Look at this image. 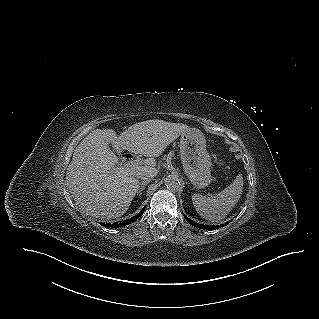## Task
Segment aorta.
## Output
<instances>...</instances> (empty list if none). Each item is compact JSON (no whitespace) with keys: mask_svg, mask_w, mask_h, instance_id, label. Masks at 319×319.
<instances>
[{"mask_svg":"<svg viewBox=\"0 0 319 319\" xmlns=\"http://www.w3.org/2000/svg\"><path fill=\"white\" fill-rule=\"evenodd\" d=\"M164 183L169 190L177 191L182 187L181 181L172 175L165 178Z\"/></svg>","mask_w":319,"mask_h":319,"instance_id":"1","label":"aorta"}]
</instances>
